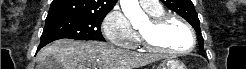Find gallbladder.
Masks as SVG:
<instances>
[{
	"mask_svg": "<svg viewBox=\"0 0 246 69\" xmlns=\"http://www.w3.org/2000/svg\"><path fill=\"white\" fill-rule=\"evenodd\" d=\"M38 68L39 69H63L61 65L56 64L52 56H48L44 62V65Z\"/></svg>",
	"mask_w": 246,
	"mask_h": 69,
	"instance_id": "obj_1",
	"label": "gallbladder"
}]
</instances>
